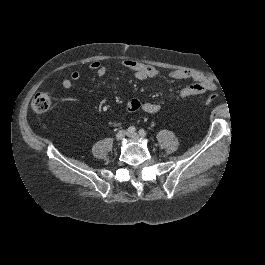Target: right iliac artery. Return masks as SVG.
I'll use <instances>...</instances> for the list:
<instances>
[{
    "label": "right iliac artery",
    "instance_id": "82829eb1",
    "mask_svg": "<svg viewBox=\"0 0 265 265\" xmlns=\"http://www.w3.org/2000/svg\"><path fill=\"white\" fill-rule=\"evenodd\" d=\"M136 131V128L134 126H130L128 129H127V132L128 133H134Z\"/></svg>",
    "mask_w": 265,
    "mask_h": 265
}]
</instances>
